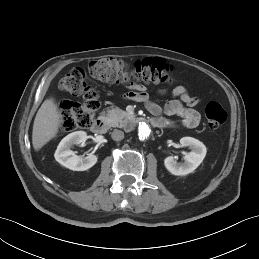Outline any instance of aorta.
<instances>
[{"instance_id":"aorta-1","label":"aorta","mask_w":259,"mask_h":259,"mask_svg":"<svg viewBox=\"0 0 259 259\" xmlns=\"http://www.w3.org/2000/svg\"><path fill=\"white\" fill-rule=\"evenodd\" d=\"M136 132L140 140H146L151 134V128L145 122H140L136 127Z\"/></svg>"}]
</instances>
